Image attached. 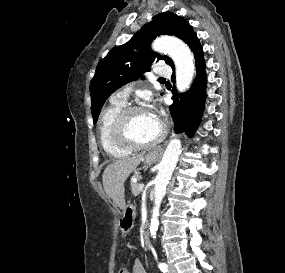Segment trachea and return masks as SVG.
<instances>
[{
  "instance_id": "1",
  "label": "trachea",
  "mask_w": 285,
  "mask_h": 273,
  "mask_svg": "<svg viewBox=\"0 0 285 273\" xmlns=\"http://www.w3.org/2000/svg\"><path fill=\"white\" fill-rule=\"evenodd\" d=\"M159 80H160V81H165V79H163V78H159Z\"/></svg>"
}]
</instances>
